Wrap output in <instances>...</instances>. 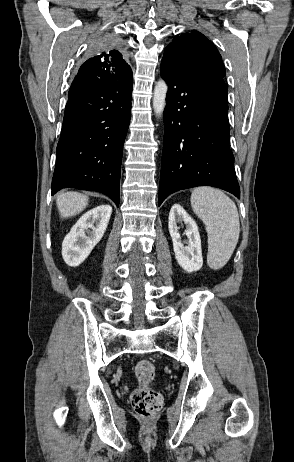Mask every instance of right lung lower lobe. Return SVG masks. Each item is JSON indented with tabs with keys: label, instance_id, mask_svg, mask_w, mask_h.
Here are the masks:
<instances>
[{
	"label": "right lung lower lobe",
	"instance_id": "right-lung-lower-lobe-1",
	"mask_svg": "<svg viewBox=\"0 0 294 462\" xmlns=\"http://www.w3.org/2000/svg\"><path fill=\"white\" fill-rule=\"evenodd\" d=\"M132 85L131 74L111 86L68 95L52 195L68 187L92 190L108 195L119 206Z\"/></svg>",
	"mask_w": 294,
	"mask_h": 462
}]
</instances>
